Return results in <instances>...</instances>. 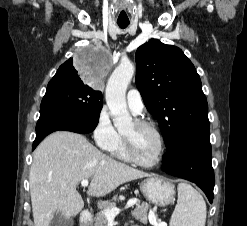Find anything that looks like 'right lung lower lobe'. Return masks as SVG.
I'll return each instance as SVG.
<instances>
[{
	"mask_svg": "<svg viewBox=\"0 0 247 226\" xmlns=\"http://www.w3.org/2000/svg\"><path fill=\"white\" fill-rule=\"evenodd\" d=\"M97 124L91 118H83L54 106L47 107L40 110L33 150L45 136L54 131L66 130L76 133H89L95 129Z\"/></svg>",
	"mask_w": 247,
	"mask_h": 226,
	"instance_id": "obj_1",
	"label": "right lung lower lobe"
}]
</instances>
